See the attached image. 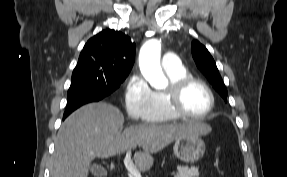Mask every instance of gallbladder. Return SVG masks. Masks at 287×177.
I'll use <instances>...</instances> for the list:
<instances>
[{
	"label": "gallbladder",
	"instance_id": "bac80fb5",
	"mask_svg": "<svg viewBox=\"0 0 287 177\" xmlns=\"http://www.w3.org/2000/svg\"><path fill=\"white\" fill-rule=\"evenodd\" d=\"M91 173L94 175V176H100V175H102V174H105L106 173V171H105V169L102 167V166H100V165H93L92 167H91Z\"/></svg>",
	"mask_w": 287,
	"mask_h": 177
}]
</instances>
